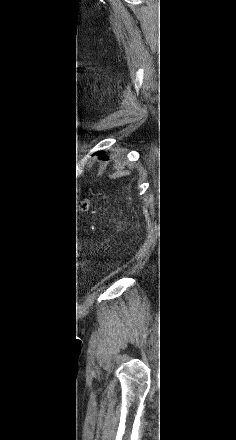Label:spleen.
Here are the masks:
<instances>
[{"label": "spleen", "mask_w": 236, "mask_h": 440, "mask_svg": "<svg viewBox=\"0 0 236 440\" xmlns=\"http://www.w3.org/2000/svg\"><path fill=\"white\" fill-rule=\"evenodd\" d=\"M129 174V172H120L119 174H114L112 177H117L119 175H126Z\"/></svg>", "instance_id": "spleen-1"}]
</instances>
